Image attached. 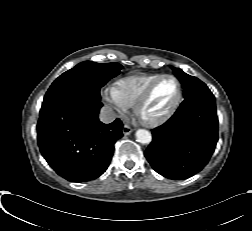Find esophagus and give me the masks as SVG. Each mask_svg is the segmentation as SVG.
<instances>
[{
    "instance_id": "1",
    "label": "esophagus",
    "mask_w": 252,
    "mask_h": 231,
    "mask_svg": "<svg viewBox=\"0 0 252 231\" xmlns=\"http://www.w3.org/2000/svg\"><path fill=\"white\" fill-rule=\"evenodd\" d=\"M122 131L124 135H129L133 132V129L128 125H124Z\"/></svg>"
}]
</instances>
